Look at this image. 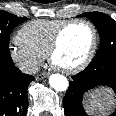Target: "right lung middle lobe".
I'll return each instance as SVG.
<instances>
[{
	"label": "right lung middle lobe",
	"mask_w": 116,
	"mask_h": 116,
	"mask_svg": "<svg viewBox=\"0 0 116 116\" xmlns=\"http://www.w3.org/2000/svg\"><path fill=\"white\" fill-rule=\"evenodd\" d=\"M26 20L25 17L0 11V68L13 64L9 52V36L13 28Z\"/></svg>",
	"instance_id": "1"
}]
</instances>
